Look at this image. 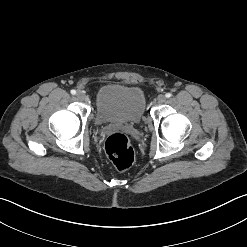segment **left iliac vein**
I'll list each match as a JSON object with an SVG mask.
<instances>
[{"mask_svg":"<svg viewBox=\"0 0 247 247\" xmlns=\"http://www.w3.org/2000/svg\"><path fill=\"white\" fill-rule=\"evenodd\" d=\"M157 101L158 103H164L166 101V96L163 95V94H160L158 97H157Z\"/></svg>","mask_w":247,"mask_h":247,"instance_id":"left-iliac-vein-1","label":"left iliac vein"}]
</instances>
